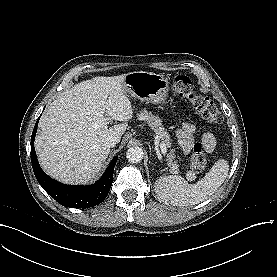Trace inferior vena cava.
<instances>
[{
	"label": "inferior vena cava",
	"instance_id": "obj_1",
	"mask_svg": "<svg viewBox=\"0 0 277 277\" xmlns=\"http://www.w3.org/2000/svg\"><path fill=\"white\" fill-rule=\"evenodd\" d=\"M118 142H119V140L117 139V137L109 136V137H107V139L105 141V146L108 148H112V147L116 146V144Z\"/></svg>",
	"mask_w": 277,
	"mask_h": 277
}]
</instances>
